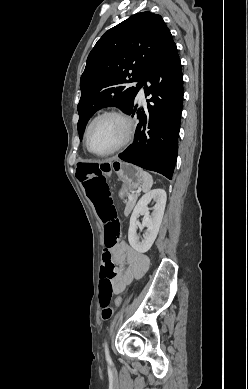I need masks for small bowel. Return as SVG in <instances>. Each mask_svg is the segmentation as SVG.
<instances>
[{
    "instance_id": "obj_1",
    "label": "small bowel",
    "mask_w": 248,
    "mask_h": 389,
    "mask_svg": "<svg viewBox=\"0 0 248 389\" xmlns=\"http://www.w3.org/2000/svg\"><path fill=\"white\" fill-rule=\"evenodd\" d=\"M113 261L119 266V272L114 279L113 293L121 294L133 280L139 279L149 268V258L133 249L126 241H121L110 249Z\"/></svg>"
}]
</instances>
